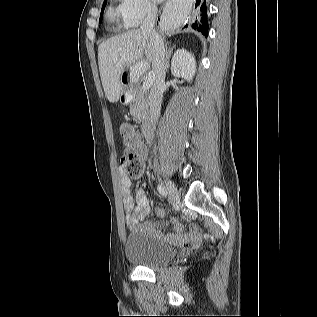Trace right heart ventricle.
<instances>
[{
	"instance_id": "e07e8e85",
	"label": "right heart ventricle",
	"mask_w": 317,
	"mask_h": 317,
	"mask_svg": "<svg viewBox=\"0 0 317 317\" xmlns=\"http://www.w3.org/2000/svg\"><path fill=\"white\" fill-rule=\"evenodd\" d=\"M107 18L117 28H120L122 25L127 27L121 14L120 6H110L107 11Z\"/></svg>"
}]
</instances>
